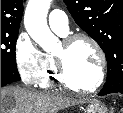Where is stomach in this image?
I'll return each mask as SVG.
<instances>
[{
  "label": "stomach",
  "instance_id": "obj_1",
  "mask_svg": "<svg viewBox=\"0 0 123 113\" xmlns=\"http://www.w3.org/2000/svg\"><path fill=\"white\" fill-rule=\"evenodd\" d=\"M85 113H108V110L100 101L92 100L86 106Z\"/></svg>",
  "mask_w": 123,
  "mask_h": 113
}]
</instances>
